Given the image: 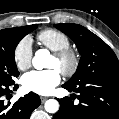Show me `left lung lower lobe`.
I'll return each mask as SVG.
<instances>
[{"instance_id": "obj_1", "label": "left lung lower lobe", "mask_w": 119, "mask_h": 119, "mask_svg": "<svg viewBox=\"0 0 119 119\" xmlns=\"http://www.w3.org/2000/svg\"><path fill=\"white\" fill-rule=\"evenodd\" d=\"M63 88L77 92L79 104L69 97L58 99L60 109L53 119H119V78H100L75 87L64 84Z\"/></svg>"}]
</instances>
